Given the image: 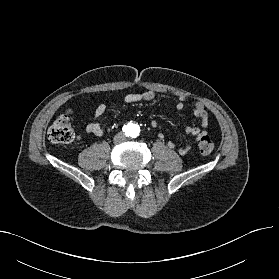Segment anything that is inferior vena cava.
Returning <instances> with one entry per match:
<instances>
[{"label": "inferior vena cava", "instance_id": "1", "mask_svg": "<svg viewBox=\"0 0 279 279\" xmlns=\"http://www.w3.org/2000/svg\"><path fill=\"white\" fill-rule=\"evenodd\" d=\"M119 139H123V136L117 135V136L115 137V141H118Z\"/></svg>", "mask_w": 279, "mask_h": 279}]
</instances>
